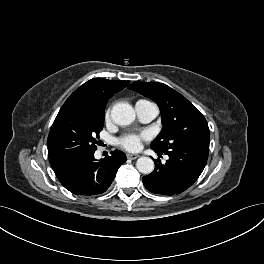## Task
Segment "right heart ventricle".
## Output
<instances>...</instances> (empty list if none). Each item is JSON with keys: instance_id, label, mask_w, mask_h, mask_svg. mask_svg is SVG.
<instances>
[{"instance_id": "right-heart-ventricle-1", "label": "right heart ventricle", "mask_w": 264, "mask_h": 264, "mask_svg": "<svg viewBox=\"0 0 264 264\" xmlns=\"http://www.w3.org/2000/svg\"><path fill=\"white\" fill-rule=\"evenodd\" d=\"M141 101H145V100H139L138 102H141ZM138 102H137V103H138Z\"/></svg>"}]
</instances>
